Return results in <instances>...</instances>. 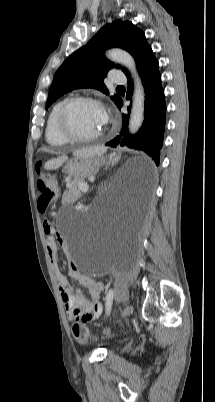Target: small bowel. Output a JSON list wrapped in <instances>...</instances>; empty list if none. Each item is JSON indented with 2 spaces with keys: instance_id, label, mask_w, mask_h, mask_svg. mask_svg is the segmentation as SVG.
<instances>
[{
  "instance_id": "obj_1",
  "label": "small bowel",
  "mask_w": 215,
  "mask_h": 402,
  "mask_svg": "<svg viewBox=\"0 0 215 402\" xmlns=\"http://www.w3.org/2000/svg\"><path fill=\"white\" fill-rule=\"evenodd\" d=\"M43 228L49 235L46 239L47 252L68 318L71 321L84 322L99 318L103 311L101 294L105 288L104 283L82 274L76 266L71 265L68 275L88 291L90 298L86 299L80 292H74L68 278L60 271L58 265V246L65 251L67 244L50 221H44Z\"/></svg>"
}]
</instances>
